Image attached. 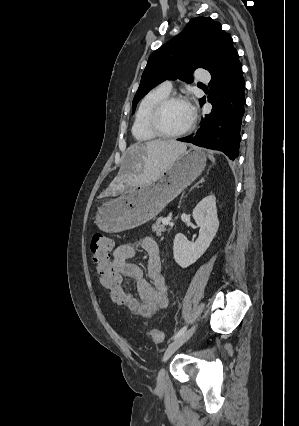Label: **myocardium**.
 <instances>
[{
  "label": "myocardium",
  "instance_id": "1",
  "mask_svg": "<svg viewBox=\"0 0 299 426\" xmlns=\"http://www.w3.org/2000/svg\"><path fill=\"white\" fill-rule=\"evenodd\" d=\"M173 102H184L188 104L187 99L181 95H167L166 97H164L163 99H161L160 101L156 103V105L153 107L149 115V119H148L149 127L152 130V132L155 133L158 137L178 138L189 133L194 126V118L192 117L190 123L184 129L178 132H168L164 129L162 125V121H161L162 114L164 110L166 109V107Z\"/></svg>",
  "mask_w": 299,
  "mask_h": 426
}]
</instances>
